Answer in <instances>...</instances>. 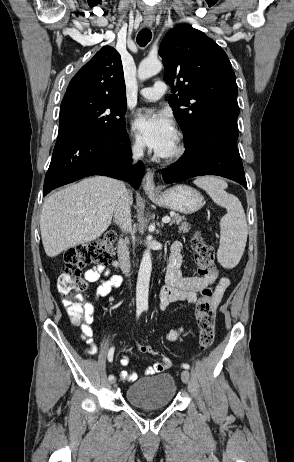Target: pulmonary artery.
<instances>
[{
  "label": "pulmonary artery",
  "mask_w": 294,
  "mask_h": 462,
  "mask_svg": "<svg viewBox=\"0 0 294 462\" xmlns=\"http://www.w3.org/2000/svg\"><path fill=\"white\" fill-rule=\"evenodd\" d=\"M167 91V85L163 81H156L153 86L142 88L140 95L147 101L160 99Z\"/></svg>",
  "instance_id": "obj_1"
}]
</instances>
